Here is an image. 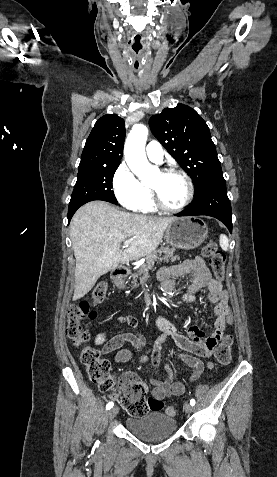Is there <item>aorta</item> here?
Here are the masks:
<instances>
[{"mask_svg":"<svg viewBox=\"0 0 277 477\" xmlns=\"http://www.w3.org/2000/svg\"><path fill=\"white\" fill-rule=\"evenodd\" d=\"M148 128L143 124H135L125 142V160L131 171L142 181L150 180L158 168L152 166L145 154Z\"/></svg>","mask_w":277,"mask_h":477,"instance_id":"1","label":"aorta"}]
</instances>
